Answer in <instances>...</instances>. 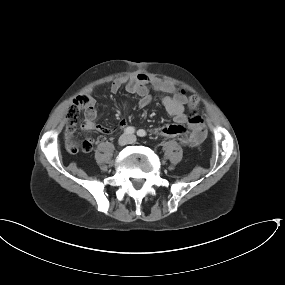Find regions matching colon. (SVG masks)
Here are the masks:
<instances>
[{
    "label": "colon",
    "instance_id": "colon-1",
    "mask_svg": "<svg viewBox=\"0 0 285 285\" xmlns=\"http://www.w3.org/2000/svg\"><path fill=\"white\" fill-rule=\"evenodd\" d=\"M91 102V98L87 94L77 96L68 111V117L71 121L75 122L79 120L84 112L89 109ZM189 108L194 113L198 110L197 100L194 97H191L189 100Z\"/></svg>",
    "mask_w": 285,
    "mask_h": 285
}]
</instances>
